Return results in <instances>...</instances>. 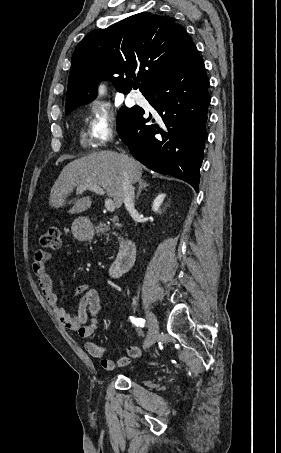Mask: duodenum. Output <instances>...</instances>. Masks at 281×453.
<instances>
[{
  "label": "duodenum",
  "mask_w": 281,
  "mask_h": 453,
  "mask_svg": "<svg viewBox=\"0 0 281 453\" xmlns=\"http://www.w3.org/2000/svg\"><path fill=\"white\" fill-rule=\"evenodd\" d=\"M136 252L137 248L134 242L123 240L120 244L116 259L109 269L110 276L112 278H117L130 269L135 261Z\"/></svg>",
  "instance_id": "obj_1"
}]
</instances>
